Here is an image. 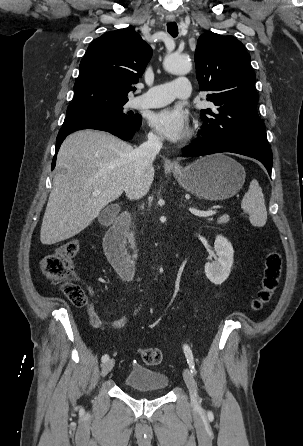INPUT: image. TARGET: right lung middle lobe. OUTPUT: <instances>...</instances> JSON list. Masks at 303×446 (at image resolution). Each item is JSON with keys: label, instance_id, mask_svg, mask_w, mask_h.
<instances>
[{"label": "right lung middle lobe", "instance_id": "right-lung-middle-lobe-1", "mask_svg": "<svg viewBox=\"0 0 303 446\" xmlns=\"http://www.w3.org/2000/svg\"><path fill=\"white\" fill-rule=\"evenodd\" d=\"M126 102H120L110 105L94 107L86 110H67L63 125L69 124L85 118H105L120 122L130 128H139L141 126V116L123 111V105Z\"/></svg>", "mask_w": 303, "mask_h": 446}]
</instances>
